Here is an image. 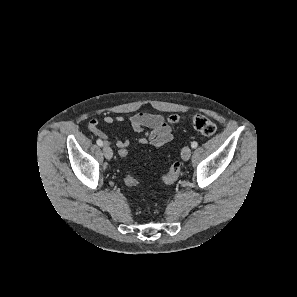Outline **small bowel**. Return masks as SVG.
Here are the masks:
<instances>
[{
	"label": "small bowel",
	"mask_w": 297,
	"mask_h": 297,
	"mask_svg": "<svg viewBox=\"0 0 297 297\" xmlns=\"http://www.w3.org/2000/svg\"><path fill=\"white\" fill-rule=\"evenodd\" d=\"M103 122L106 124L123 123L124 117L120 115L115 117L106 115L103 117ZM129 124L134 132L143 134L137 139L138 143L141 145L149 144L154 147H161L172 141L174 137L172 127L166 122L162 115L142 112L137 113L129 118ZM88 129L93 135L107 142L108 137L100 129V122L97 119H92L88 123ZM145 129H149V132H145ZM115 142L118 148H127L130 145L129 139L126 138H116Z\"/></svg>",
	"instance_id": "1"
}]
</instances>
